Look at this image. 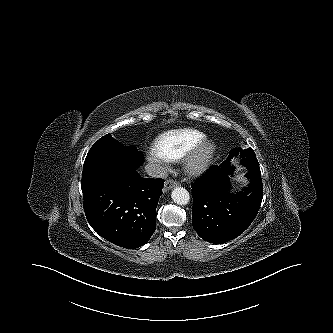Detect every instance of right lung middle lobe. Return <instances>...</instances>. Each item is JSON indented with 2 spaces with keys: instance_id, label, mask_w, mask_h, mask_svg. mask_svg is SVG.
<instances>
[{
  "instance_id": "1",
  "label": "right lung middle lobe",
  "mask_w": 333,
  "mask_h": 333,
  "mask_svg": "<svg viewBox=\"0 0 333 333\" xmlns=\"http://www.w3.org/2000/svg\"><path fill=\"white\" fill-rule=\"evenodd\" d=\"M143 154L133 146H122L110 134L101 137L88 152L83 165L82 180L126 168H137Z\"/></svg>"
}]
</instances>
